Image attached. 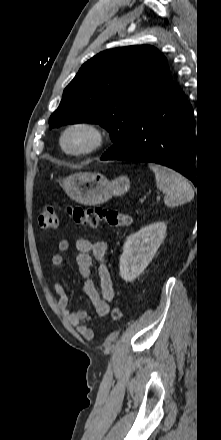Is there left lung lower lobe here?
<instances>
[{"label": "left lung lower lobe", "mask_w": 221, "mask_h": 440, "mask_svg": "<svg viewBox=\"0 0 221 440\" xmlns=\"http://www.w3.org/2000/svg\"><path fill=\"white\" fill-rule=\"evenodd\" d=\"M193 109L171 80L139 117L127 149L101 160L154 162L168 166L196 184L192 151L196 147Z\"/></svg>", "instance_id": "1"}]
</instances>
